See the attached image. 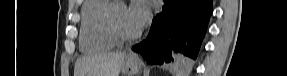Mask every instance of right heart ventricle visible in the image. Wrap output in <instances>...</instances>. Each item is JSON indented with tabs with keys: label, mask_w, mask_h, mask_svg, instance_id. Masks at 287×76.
<instances>
[{
	"label": "right heart ventricle",
	"mask_w": 287,
	"mask_h": 76,
	"mask_svg": "<svg viewBox=\"0 0 287 76\" xmlns=\"http://www.w3.org/2000/svg\"><path fill=\"white\" fill-rule=\"evenodd\" d=\"M111 0H86L81 9L80 48L84 52H102L113 48L117 40L107 25Z\"/></svg>",
	"instance_id": "obj_1"
}]
</instances>
